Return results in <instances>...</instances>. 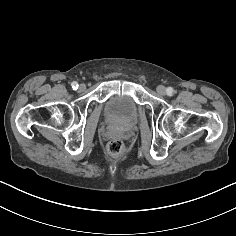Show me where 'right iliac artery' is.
Segmentation results:
<instances>
[{
    "instance_id": "1",
    "label": "right iliac artery",
    "mask_w": 236,
    "mask_h": 236,
    "mask_svg": "<svg viewBox=\"0 0 236 236\" xmlns=\"http://www.w3.org/2000/svg\"><path fill=\"white\" fill-rule=\"evenodd\" d=\"M71 86H72L73 90H77L78 83L74 81V82H72Z\"/></svg>"
}]
</instances>
